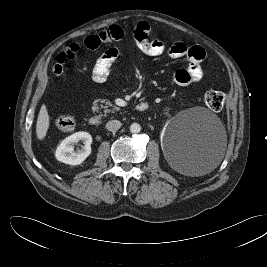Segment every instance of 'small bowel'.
I'll list each match as a JSON object with an SVG mask.
<instances>
[{
	"label": "small bowel",
	"mask_w": 267,
	"mask_h": 267,
	"mask_svg": "<svg viewBox=\"0 0 267 267\" xmlns=\"http://www.w3.org/2000/svg\"><path fill=\"white\" fill-rule=\"evenodd\" d=\"M151 27L147 22H139L133 31V37L137 47L146 55L158 56L167 51L169 57L173 59L186 58L188 65L186 68L175 72L174 79L178 85L187 86L199 82L203 75L201 62L204 59L205 51L201 46H187L184 43L176 42L169 47L162 40H149ZM125 31L121 26L113 25L96 34L85 37L81 42H74L65 47L56 58L54 73L60 76L64 67L72 60L81 48L95 50L104 43L119 41L124 37ZM118 57L115 47L107 48L97 59L92 78L94 81L102 83L109 76L111 66Z\"/></svg>",
	"instance_id": "obj_1"
}]
</instances>
